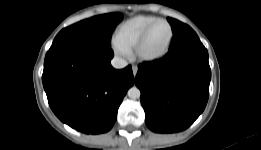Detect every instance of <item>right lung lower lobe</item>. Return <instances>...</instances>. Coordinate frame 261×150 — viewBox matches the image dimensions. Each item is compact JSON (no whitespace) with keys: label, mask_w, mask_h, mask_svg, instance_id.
<instances>
[{"label":"right lung lower lobe","mask_w":261,"mask_h":150,"mask_svg":"<svg viewBox=\"0 0 261 150\" xmlns=\"http://www.w3.org/2000/svg\"><path fill=\"white\" fill-rule=\"evenodd\" d=\"M110 46L63 43L48 50L42 75L49 105L70 127L86 133L109 131L134 84L132 67L114 69Z\"/></svg>","instance_id":"obj_1"}]
</instances>
